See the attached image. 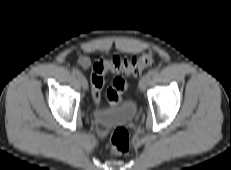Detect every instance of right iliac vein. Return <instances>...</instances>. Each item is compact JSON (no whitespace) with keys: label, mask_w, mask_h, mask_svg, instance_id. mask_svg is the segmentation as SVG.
Listing matches in <instances>:
<instances>
[{"label":"right iliac vein","mask_w":231,"mask_h":170,"mask_svg":"<svg viewBox=\"0 0 231 170\" xmlns=\"http://www.w3.org/2000/svg\"><path fill=\"white\" fill-rule=\"evenodd\" d=\"M78 81L81 85V87L84 89V90H87L88 89V82H87V79L83 76V75H78Z\"/></svg>","instance_id":"63e3f726"}]
</instances>
